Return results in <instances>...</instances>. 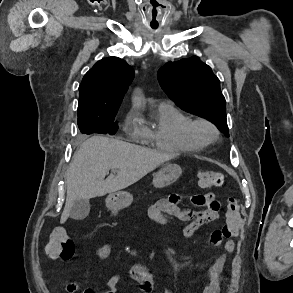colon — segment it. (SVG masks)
Here are the masks:
<instances>
[{
	"mask_svg": "<svg viewBox=\"0 0 293 293\" xmlns=\"http://www.w3.org/2000/svg\"><path fill=\"white\" fill-rule=\"evenodd\" d=\"M198 184L201 188H220L225 185V178L221 172L202 170L198 174ZM239 203L236 198H229L226 221L222 228L225 237H233L238 233ZM46 254L51 259L69 261L74 257L75 245L69 234L61 228H56L51 233V238L45 248ZM227 284V281H224Z\"/></svg>",
	"mask_w": 293,
	"mask_h": 293,
	"instance_id": "5ec220e1",
	"label": "colon"
}]
</instances>
